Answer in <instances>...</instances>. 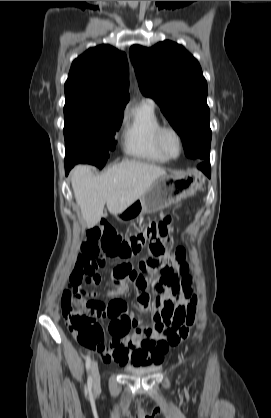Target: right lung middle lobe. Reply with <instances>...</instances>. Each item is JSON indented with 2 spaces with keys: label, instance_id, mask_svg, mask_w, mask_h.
<instances>
[{
  "label": "right lung middle lobe",
  "instance_id": "right-lung-middle-lobe-1",
  "mask_svg": "<svg viewBox=\"0 0 271 418\" xmlns=\"http://www.w3.org/2000/svg\"><path fill=\"white\" fill-rule=\"evenodd\" d=\"M64 119L65 162L90 163L102 168L108 151L115 148L123 111L71 104L64 106Z\"/></svg>",
  "mask_w": 271,
  "mask_h": 418
}]
</instances>
